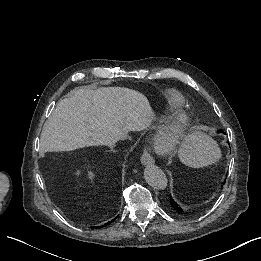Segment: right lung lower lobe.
<instances>
[{"mask_svg": "<svg viewBox=\"0 0 261 261\" xmlns=\"http://www.w3.org/2000/svg\"><path fill=\"white\" fill-rule=\"evenodd\" d=\"M113 220H114V219H113ZM113 220H112V221H113ZM112 221H111V222H112ZM108 224H109V222H108V223H105V224L102 225L101 227L103 228V227L107 226ZM94 228H96V227H94ZM97 228H98V227H97Z\"/></svg>", "mask_w": 261, "mask_h": 261, "instance_id": "98d812e1", "label": "right lung lower lobe"}]
</instances>
